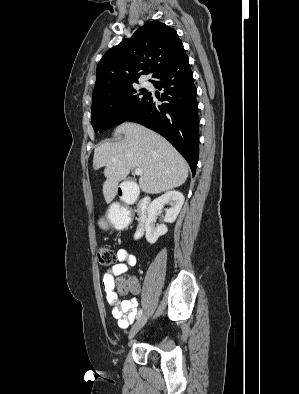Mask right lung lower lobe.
Returning <instances> with one entry per match:
<instances>
[{
    "mask_svg": "<svg viewBox=\"0 0 299 394\" xmlns=\"http://www.w3.org/2000/svg\"><path fill=\"white\" fill-rule=\"evenodd\" d=\"M152 83L164 89L161 97L148 93L143 104L126 120L164 136L187 160L194 176L199 156V118L187 55L163 70ZM158 100L163 104L157 105Z\"/></svg>",
    "mask_w": 299,
    "mask_h": 394,
    "instance_id": "1",
    "label": "right lung lower lobe"
}]
</instances>
